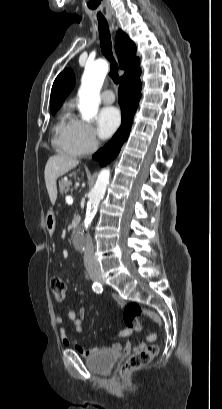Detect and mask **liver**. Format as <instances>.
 Instances as JSON below:
<instances>
[{
    "mask_svg": "<svg viewBox=\"0 0 222 409\" xmlns=\"http://www.w3.org/2000/svg\"><path fill=\"white\" fill-rule=\"evenodd\" d=\"M78 164L79 161L77 159L65 155H54L48 159L45 166L44 176L46 188L52 205L55 204L57 199V179L71 169L75 168Z\"/></svg>",
    "mask_w": 222,
    "mask_h": 409,
    "instance_id": "obj_1",
    "label": "liver"
}]
</instances>
